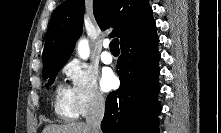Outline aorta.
Masks as SVG:
<instances>
[{"label":"aorta","mask_w":221,"mask_h":133,"mask_svg":"<svg viewBox=\"0 0 221 133\" xmlns=\"http://www.w3.org/2000/svg\"><path fill=\"white\" fill-rule=\"evenodd\" d=\"M89 53L90 50H89L88 41L86 39H82L78 45V54L80 58L87 59L89 57Z\"/></svg>","instance_id":"obj_1"}]
</instances>
